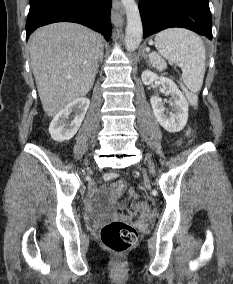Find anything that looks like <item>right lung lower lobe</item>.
I'll return each instance as SVG.
<instances>
[{"mask_svg": "<svg viewBox=\"0 0 233 284\" xmlns=\"http://www.w3.org/2000/svg\"><path fill=\"white\" fill-rule=\"evenodd\" d=\"M111 6V0H30L26 39L38 27L69 21L101 32L108 41L112 31Z\"/></svg>", "mask_w": 233, "mask_h": 284, "instance_id": "98d812e1", "label": "right lung lower lobe"}]
</instances>
